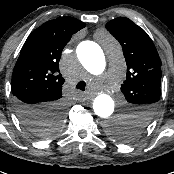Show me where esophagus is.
I'll return each mask as SVG.
<instances>
[{
	"instance_id": "34e87169",
	"label": "esophagus",
	"mask_w": 174,
	"mask_h": 174,
	"mask_svg": "<svg viewBox=\"0 0 174 174\" xmlns=\"http://www.w3.org/2000/svg\"><path fill=\"white\" fill-rule=\"evenodd\" d=\"M91 98H92V96H87L85 99L90 100Z\"/></svg>"
}]
</instances>
